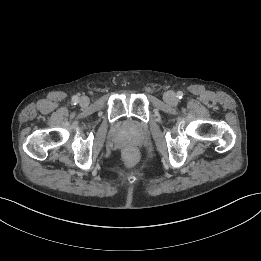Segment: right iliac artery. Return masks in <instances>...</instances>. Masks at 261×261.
I'll use <instances>...</instances> for the list:
<instances>
[{"mask_svg":"<svg viewBox=\"0 0 261 261\" xmlns=\"http://www.w3.org/2000/svg\"><path fill=\"white\" fill-rule=\"evenodd\" d=\"M79 102V98L77 96H73L72 103L76 105Z\"/></svg>","mask_w":261,"mask_h":261,"instance_id":"obj_1","label":"right iliac artery"}]
</instances>
